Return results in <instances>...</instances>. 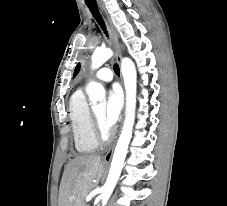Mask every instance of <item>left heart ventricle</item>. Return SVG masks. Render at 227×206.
Listing matches in <instances>:
<instances>
[{"mask_svg":"<svg viewBox=\"0 0 227 206\" xmlns=\"http://www.w3.org/2000/svg\"><path fill=\"white\" fill-rule=\"evenodd\" d=\"M104 109H105L104 105L100 104L94 108V113H95L96 117L98 118L100 124L102 125L103 129L107 130L103 124Z\"/></svg>","mask_w":227,"mask_h":206,"instance_id":"obj_1","label":"left heart ventricle"}]
</instances>
